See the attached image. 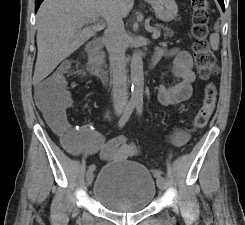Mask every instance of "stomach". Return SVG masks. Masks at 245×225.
Wrapping results in <instances>:
<instances>
[{
    "instance_id": "obj_1",
    "label": "stomach",
    "mask_w": 245,
    "mask_h": 225,
    "mask_svg": "<svg viewBox=\"0 0 245 225\" xmlns=\"http://www.w3.org/2000/svg\"><path fill=\"white\" fill-rule=\"evenodd\" d=\"M149 3L156 17L164 22H169L175 19L178 13V6L175 0H145Z\"/></svg>"
}]
</instances>
